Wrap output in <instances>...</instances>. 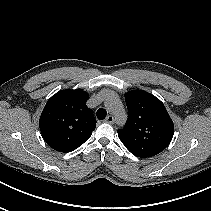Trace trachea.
Masks as SVG:
<instances>
[{
	"label": "trachea",
	"instance_id": "1",
	"mask_svg": "<svg viewBox=\"0 0 211 211\" xmlns=\"http://www.w3.org/2000/svg\"><path fill=\"white\" fill-rule=\"evenodd\" d=\"M96 115H97V118H98L99 120H103V119H105V117H106V115H107V112H106L105 109L99 108V109L97 110Z\"/></svg>",
	"mask_w": 211,
	"mask_h": 211
}]
</instances>
